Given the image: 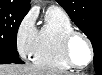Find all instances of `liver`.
Listing matches in <instances>:
<instances>
[{
	"label": "liver",
	"instance_id": "1",
	"mask_svg": "<svg viewBox=\"0 0 102 75\" xmlns=\"http://www.w3.org/2000/svg\"><path fill=\"white\" fill-rule=\"evenodd\" d=\"M0 75H67L62 72L42 68L33 64L16 65L5 64L0 66Z\"/></svg>",
	"mask_w": 102,
	"mask_h": 75
}]
</instances>
